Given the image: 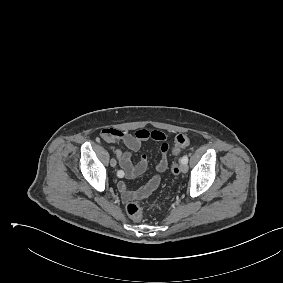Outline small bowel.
Masks as SVG:
<instances>
[{
    "instance_id": "1",
    "label": "small bowel",
    "mask_w": 283,
    "mask_h": 283,
    "mask_svg": "<svg viewBox=\"0 0 283 283\" xmlns=\"http://www.w3.org/2000/svg\"><path fill=\"white\" fill-rule=\"evenodd\" d=\"M101 138L107 142H120L125 147L124 151L116 149L115 154L120 167L123 169L125 177L128 179H133L142 174L148 165L147 157L145 155H142L139 161L133 164L131 161L132 152L138 151L141 148L142 143L149 139L160 142L161 159L156 166L157 173L147 184L135 191L129 190L124 181L119 182L118 189L121 192L122 199L124 201H130L132 199H142L147 197L159 186L161 174L164 173L168 167L167 153L169 145L166 142V135L163 132L139 129L134 134H131L114 128H106L102 130Z\"/></svg>"
}]
</instances>
